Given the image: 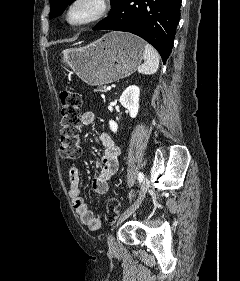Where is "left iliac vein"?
Segmentation results:
<instances>
[{
  "mask_svg": "<svg viewBox=\"0 0 240 281\" xmlns=\"http://www.w3.org/2000/svg\"><path fill=\"white\" fill-rule=\"evenodd\" d=\"M149 188V180L147 177H145L143 179V182H142V185H141V189H140V192H139V196L137 198V200L132 204L131 207H129L118 219L115 227H117L118 225H120L122 222H124L128 217H130L137 209L138 207L140 206L141 202L143 201L146 193H147V190ZM114 227V228H115ZM108 246H109V250L113 253L116 252L117 250V246H116V243H115V240L113 238L112 235H110L108 237Z\"/></svg>",
  "mask_w": 240,
  "mask_h": 281,
  "instance_id": "1",
  "label": "left iliac vein"
}]
</instances>
